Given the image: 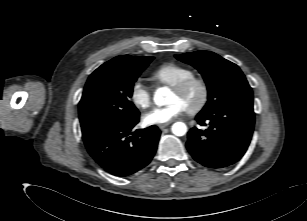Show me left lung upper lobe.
I'll return each mask as SVG.
<instances>
[{
    "instance_id": "left-lung-upper-lobe-1",
    "label": "left lung upper lobe",
    "mask_w": 307,
    "mask_h": 221,
    "mask_svg": "<svg viewBox=\"0 0 307 221\" xmlns=\"http://www.w3.org/2000/svg\"><path fill=\"white\" fill-rule=\"evenodd\" d=\"M195 67L203 76L208 89V102L201 113L226 106L253 105V93L240 68L210 51H195L175 56Z\"/></svg>"
}]
</instances>
